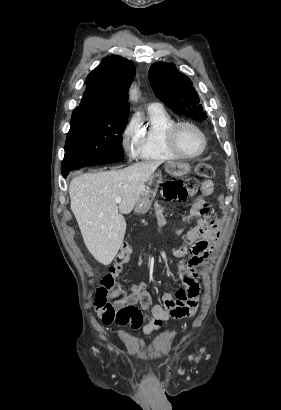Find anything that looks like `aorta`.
I'll return each mask as SVG.
<instances>
[{"label": "aorta", "instance_id": "aorta-1", "mask_svg": "<svg viewBox=\"0 0 281 410\" xmlns=\"http://www.w3.org/2000/svg\"><path fill=\"white\" fill-rule=\"evenodd\" d=\"M137 94H138V89L134 86V87H131V89H130V97H131V99L132 100H136L137 99Z\"/></svg>", "mask_w": 281, "mask_h": 410}]
</instances>
